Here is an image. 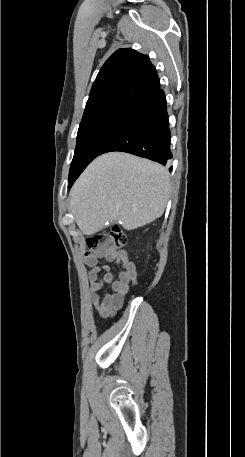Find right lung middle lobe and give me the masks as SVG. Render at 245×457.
<instances>
[{"label": "right lung middle lobe", "instance_id": "obj_1", "mask_svg": "<svg viewBox=\"0 0 245 457\" xmlns=\"http://www.w3.org/2000/svg\"><path fill=\"white\" fill-rule=\"evenodd\" d=\"M129 110L107 109L83 115L77 135V145L69 171V188L86 166L99 155Z\"/></svg>", "mask_w": 245, "mask_h": 457}]
</instances>
